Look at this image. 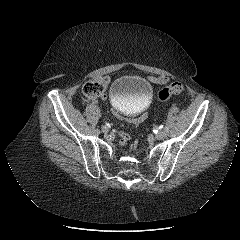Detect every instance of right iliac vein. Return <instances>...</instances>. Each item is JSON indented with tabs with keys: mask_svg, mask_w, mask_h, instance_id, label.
I'll use <instances>...</instances> for the list:
<instances>
[{
	"mask_svg": "<svg viewBox=\"0 0 240 240\" xmlns=\"http://www.w3.org/2000/svg\"><path fill=\"white\" fill-rule=\"evenodd\" d=\"M102 132L105 133V134L108 133V132H109V128L104 125V126L102 127Z\"/></svg>",
	"mask_w": 240,
	"mask_h": 240,
	"instance_id": "obj_1",
	"label": "right iliac vein"
}]
</instances>
